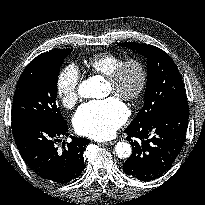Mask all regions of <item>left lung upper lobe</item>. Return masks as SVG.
<instances>
[{"instance_id":"left-lung-upper-lobe-1","label":"left lung upper lobe","mask_w":205,"mask_h":205,"mask_svg":"<svg viewBox=\"0 0 205 205\" xmlns=\"http://www.w3.org/2000/svg\"><path fill=\"white\" fill-rule=\"evenodd\" d=\"M119 45L136 50L147 58L148 79L144 106L129 126L141 125L168 107L187 103L180 73L168 54L158 47L136 42Z\"/></svg>"}]
</instances>
